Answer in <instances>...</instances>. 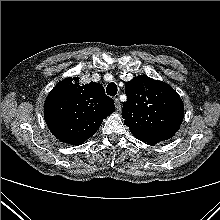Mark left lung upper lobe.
<instances>
[{"label":"left lung upper lobe","instance_id":"5c2ea615","mask_svg":"<svg viewBox=\"0 0 220 220\" xmlns=\"http://www.w3.org/2000/svg\"><path fill=\"white\" fill-rule=\"evenodd\" d=\"M125 93L122 117L135 137L161 142L175 135L183 120L184 107L171 86L139 75L125 84Z\"/></svg>","mask_w":220,"mask_h":220}]
</instances>
